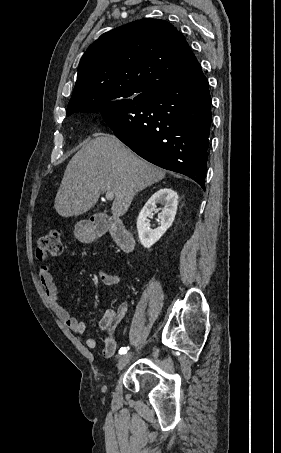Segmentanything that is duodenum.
<instances>
[{"label": "duodenum", "mask_w": 281, "mask_h": 453, "mask_svg": "<svg viewBox=\"0 0 281 453\" xmlns=\"http://www.w3.org/2000/svg\"><path fill=\"white\" fill-rule=\"evenodd\" d=\"M110 233L117 245L124 251L130 252L134 247V239L124 224L117 219L95 218L90 226L93 238Z\"/></svg>", "instance_id": "410a0bca"}]
</instances>
